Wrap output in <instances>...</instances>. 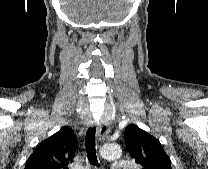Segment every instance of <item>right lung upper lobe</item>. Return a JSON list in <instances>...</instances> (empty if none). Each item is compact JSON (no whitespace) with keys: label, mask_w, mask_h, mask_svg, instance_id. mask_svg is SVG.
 I'll list each match as a JSON object with an SVG mask.
<instances>
[{"label":"right lung upper lobe","mask_w":208,"mask_h":169,"mask_svg":"<svg viewBox=\"0 0 208 169\" xmlns=\"http://www.w3.org/2000/svg\"><path fill=\"white\" fill-rule=\"evenodd\" d=\"M76 136L63 127L37 145L26 162L25 169H68L75 157Z\"/></svg>","instance_id":"cb5924a9"}]
</instances>
